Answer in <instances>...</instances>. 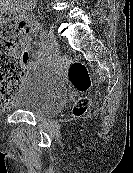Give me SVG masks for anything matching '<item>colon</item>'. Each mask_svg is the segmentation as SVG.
Wrapping results in <instances>:
<instances>
[{
  "instance_id": "colon-1",
  "label": "colon",
  "mask_w": 133,
  "mask_h": 173,
  "mask_svg": "<svg viewBox=\"0 0 133 173\" xmlns=\"http://www.w3.org/2000/svg\"><path fill=\"white\" fill-rule=\"evenodd\" d=\"M30 23L26 20H17L9 13L0 18V107L8 106L23 79L24 68L22 60L27 53L16 51V44L29 33ZM68 78L79 92L87 91L91 86V79L87 67L81 62L71 64ZM86 101L79 102L74 108V115L82 116L87 112Z\"/></svg>"
}]
</instances>
